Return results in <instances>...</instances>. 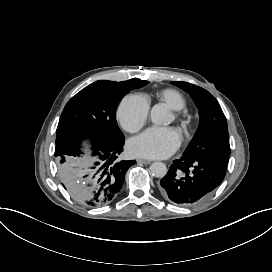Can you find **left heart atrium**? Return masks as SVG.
<instances>
[{
    "mask_svg": "<svg viewBox=\"0 0 272 272\" xmlns=\"http://www.w3.org/2000/svg\"><path fill=\"white\" fill-rule=\"evenodd\" d=\"M179 145L178 135L170 129L151 127L132 141L129 150L136 155L165 158Z\"/></svg>",
    "mask_w": 272,
    "mask_h": 272,
    "instance_id": "1",
    "label": "left heart atrium"
}]
</instances>
